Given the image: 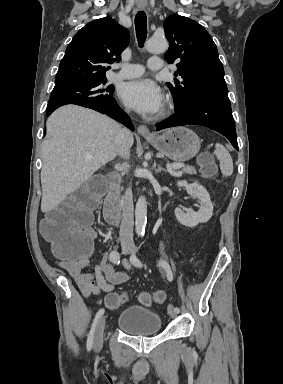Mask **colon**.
<instances>
[{
	"mask_svg": "<svg viewBox=\"0 0 283 384\" xmlns=\"http://www.w3.org/2000/svg\"><path fill=\"white\" fill-rule=\"evenodd\" d=\"M199 162L205 175L215 174L216 166L210 155H202ZM104 190L103 179L93 178L68 195L43 219L41 232L51 242L58 257L78 261L90 256L93 248V232L90 227L92 213ZM125 299V293H109L105 297V306L109 310L117 309ZM138 299L147 306L161 304L165 300V294L163 291L142 292L139 293Z\"/></svg>",
	"mask_w": 283,
	"mask_h": 384,
	"instance_id": "5ec220e1",
	"label": "colon"
}]
</instances>
